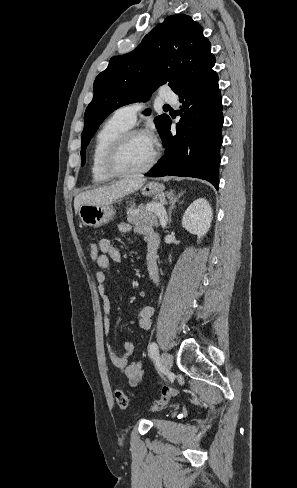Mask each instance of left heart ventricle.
Instances as JSON below:
<instances>
[{"mask_svg": "<svg viewBox=\"0 0 297 488\" xmlns=\"http://www.w3.org/2000/svg\"><path fill=\"white\" fill-rule=\"evenodd\" d=\"M155 147L146 135L132 137L124 146L118 158V167L130 171L144 167L152 158Z\"/></svg>", "mask_w": 297, "mask_h": 488, "instance_id": "left-heart-ventricle-1", "label": "left heart ventricle"}]
</instances>
